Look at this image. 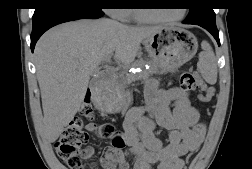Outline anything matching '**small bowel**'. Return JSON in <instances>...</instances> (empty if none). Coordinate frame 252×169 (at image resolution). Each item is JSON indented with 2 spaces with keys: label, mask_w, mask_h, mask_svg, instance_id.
Instances as JSON below:
<instances>
[{
  "label": "small bowel",
  "mask_w": 252,
  "mask_h": 169,
  "mask_svg": "<svg viewBox=\"0 0 252 169\" xmlns=\"http://www.w3.org/2000/svg\"><path fill=\"white\" fill-rule=\"evenodd\" d=\"M146 105L130 109L125 117L122 134L125 148L114 144L107 147L103 165L106 169H129V158L135 159L133 169H183L184 157L196 151L205 136L198 111L190 104L189 95L181 88L159 89L150 81L145 90ZM172 105V108H171ZM169 132L163 145L153 133L155 125ZM99 124L89 123V132L99 131ZM86 158L94 148H86Z\"/></svg>",
  "instance_id": "obj_1"
}]
</instances>
